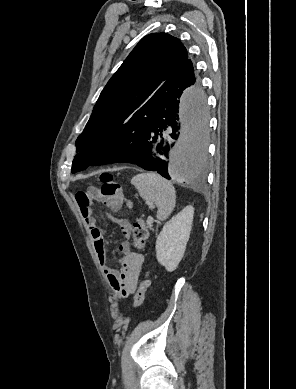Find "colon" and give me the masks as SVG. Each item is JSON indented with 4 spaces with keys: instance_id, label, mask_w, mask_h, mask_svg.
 Segmentation results:
<instances>
[{
    "instance_id": "5ec220e1",
    "label": "colon",
    "mask_w": 296,
    "mask_h": 389,
    "mask_svg": "<svg viewBox=\"0 0 296 389\" xmlns=\"http://www.w3.org/2000/svg\"><path fill=\"white\" fill-rule=\"evenodd\" d=\"M97 194L99 198L110 207H116L118 204H121V201L124 199V194L120 183L117 182L109 173L101 174L100 186ZM126 205L131 208V201L126 200ZM132 238L134 246L138 249L144 246L145 241L148 238L147 226L141 218H137L133 224ZM149 286V279H144L141 281L134 297L135 307L139 308L142 306L145 301Z\"/></svg>"
}]
</instances>
